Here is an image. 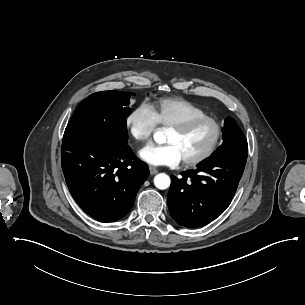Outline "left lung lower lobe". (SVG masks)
<instances>
[{
  "label": "left lung lower lobe",
  "mask_w": 305,
  "mask_h": 305,
  "mask_svg": "<svg viewBox=\"0 0 305 305\" xmlns=\"http://www.w3.org/2000/svg\"><path fill=\"white\" fill-rule=\"evenodd\" d=\"M248 151L214 154L196 170L171 177L168 208L172 218L187 228L202 227L230 205L243 174Z\"/></svg>",
  "instance_id": "obj_1"
}]
</instances>
